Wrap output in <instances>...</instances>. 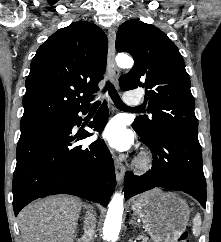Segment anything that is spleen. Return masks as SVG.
Returning <instances> with one entry per match:
<instances>
[{"instance_id":"obj_1","label":"spleen","mask_w":221,"mask_h":242,"mask_svg":"<svg viewBox=\"0 0 221 242\" xmlns=\"http://www.w3.org/2000/svg\"><path fill=\"white\" fill-rule=\"evenodd\" d=\"M201 217L197 214L193 220V235L198 236L200 234Z\"/></svg>"}]
</instances>
